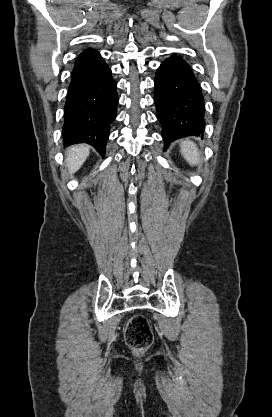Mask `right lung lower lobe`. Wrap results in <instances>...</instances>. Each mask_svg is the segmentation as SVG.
Listing matches in <instances>:
<instances>
[{"mask_svg":"<svg viewBox=\"0 0 272 417\" xmlns=\"http://www.w3.org/2000/svg\"><path fill=\"white\" fill-rule=\"evenodd\" d=\"M118 97L111 70L94 49L76 59L65 103L63 143H88L104 156Z\"/></svg>","mask_w":272,"mask_h":417,"instance_id":"right-lung-lower-lobe-1","label":"right lung lower lobe"}]
</instances>
